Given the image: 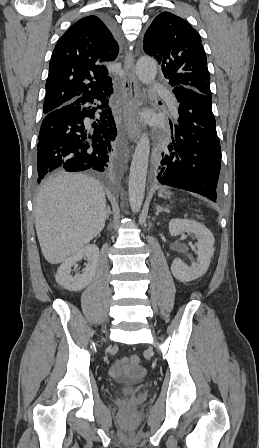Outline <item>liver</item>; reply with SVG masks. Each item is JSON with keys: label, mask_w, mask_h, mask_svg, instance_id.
Returning <instances> with one entry per match:
<instances>
[{"label": "liver", "mask_w": 259, "mask_h": 448, "mask_svg": "<svg viewBox=\"0 0 259 448\" xmlns=\"http://www.w3.org/2000/svg\"><path fill=\"white\" fill-rule=\"evenodd\" d=\"M35 226L49 264H61L102 232L107 220L100 182L84 174H57L41 184L35 198Z\"/></svg>", "instance_id": "6515ba94"}]
</instances>
